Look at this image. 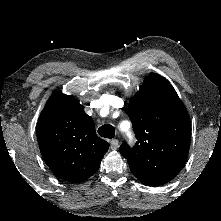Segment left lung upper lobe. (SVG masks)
Returning <instances> with one entry per match:
<instances>
[{"mask_svg": "<svg viewBox=\"0 0 221 221\" xmlns=\"http://www.w3.org/2000/svg\"><path fill=\"white\" fill-rule=\"evenodd\" d=\"M128 115L137 143H123L119 151L128 159L133 175L147 186L169 182L187 158L191 130L185 106L170 82L150 73L130 99Z\"/></svg>", "mask_w": 221, "mask_h": 221, "instance_id": "obj_1", "label": "left lung upper lobe"}]
</instances>
